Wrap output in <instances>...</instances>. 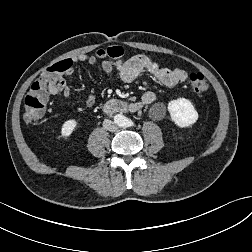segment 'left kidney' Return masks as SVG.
<instances>
[{"label":"left kidney","mask_w":252,"mask_h":252,"mask_svg":"<svg viewBox=\"0 0 252 252\" xmlns=\"http://www.w3.org/2000/svg\"><path fill=\"white\" fill-rule=\"evenodd\" d=\"M167 108L171 120L181 128L194 124L198 119L194 106L185 98L170 101Z\"/></svg>","instance_id":"1"}]
</instances>
